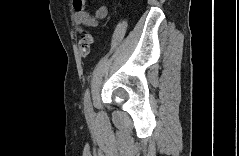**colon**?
<instances>
[{
    "instance_id": "colon-1",
    "label": "colon",
    "mask_w": 239,
    "mask_h": 156,
    "mask_svg": "<svg viewBox=\"0 0 239 156\" xmlns=\"http://www.w3.org/2000/svg\"><path fill=\"white\" fill-rule=\"evenodd\" d=\"M93 41H94V37L92 34L85 33L82 35L79 41V52L82 58L88 57Z\"/></svg>"
}]
</instances>
